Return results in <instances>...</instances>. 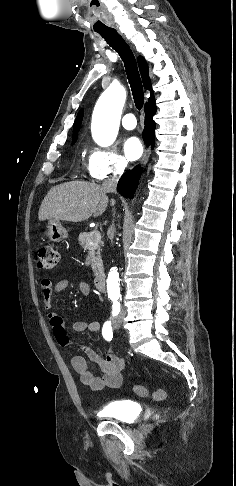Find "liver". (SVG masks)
Instances as JSON below:
<instances>
[{
  "mask_svg": "<svg viewBox=\"0 0 236 486\" xmlns=\"http://www.w3.org/2000/svg\"><path fill=\"white\" fill-rule=\"evenodd\" d=\"M107 192L103 186L82 181L54 186L42 201L38 218L81 222L92 215L98 217L107 208Z\"/></svg>",
  "mask_w": 236,
  "mask_h": 486,
  "instance_id": "liver-1",
  "label": "liver"
}]
</instances>
